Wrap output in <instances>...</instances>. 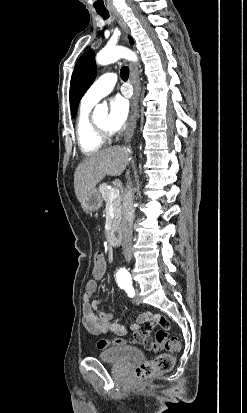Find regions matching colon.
Returning <instances> with one entry per match:
<instances>
[{"instance_id": "colon-1", "label": "colon", "mask_w": 247, "mask_h": 413, "mask_svg": "<svg viewBox=\"0 0 247 413\" xmlns=\"http://www.w3.org/2000/svg\"><path fill=\"white\" fill-rule=\"evenodd\" d=\"M105 252L103 250H98L96 254L92 255V275L94 277H99L101 274L105 273ZM168 332H157V336L154 337L155 345L154 354L158 355L153 361L146 362L140 365L136 372L134 373L135 381H152L153 376L156 374H162L169 372L174 366V355L180 353L179 341L176 337H167ZM171 342L173 348L168 353H161V347L165 342ZM136 342V340H133ZM126 342L120 338L114 339L112 342L108 340H99L96 342V347L98 349H104L110 345H121Z\"/></svg>"}]
</instances>
